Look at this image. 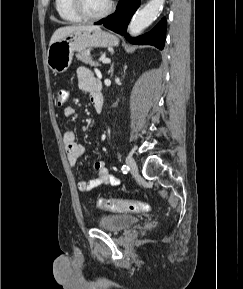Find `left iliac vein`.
Masks as SVG:
<instances>
[{
  "label": "left iliac vein",
  "mask_w": 243,
  "mask_h": 289,
  "mask_svg": "<svg viewBox=\"0 0 243 289\" xmlns=\"http://www.w3.org/2000/svg\"><path fill=\"white\" fill-rule=\"evenodd\" d=\"M126 163L130 169V172L133 174V175H136L138 173V167H137V164L135 162V160L132 158V157H127L126 158Z\"/></svg>",
  "instance_id": "obj_1"
}]
</instances>
